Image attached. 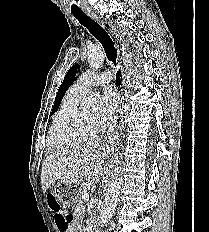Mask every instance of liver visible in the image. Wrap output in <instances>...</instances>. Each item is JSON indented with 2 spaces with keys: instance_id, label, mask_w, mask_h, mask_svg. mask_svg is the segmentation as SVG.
Masks as SVG:
<instances>
[{
  "instance_id": "1",
  "label": "liver",
  "mask_w": 209,
  "mask_h": 232,
  "mask_svg": "<svg viewBox=\"0 0 209 232\" xmlns=\"http://www.w3.org/2000/svg\"><path fill=\"white\" fill-rule=\"evenodd\" d=\"M111 146L94 140L72 145L51 153L42 164L41 185L45 193L57 180L79 183L85 178L89 184L99 182Z\"/></svg>"
}]
</instances>
